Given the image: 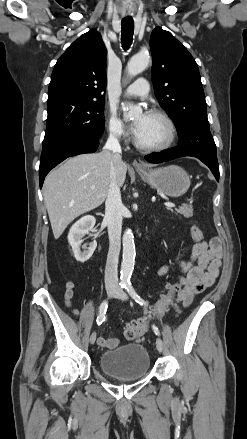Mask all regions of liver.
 Masks as SVG:
<instances>
[{"label": "liver", "instance_id": "obj_1", "mask_svg": "<svg viewBox=\"0 0 247 439\" xmlns=\"http://www.w3.org/2000/svg\"><path fill=\"white\" fill-rule=\"evenodd\" d=\"M113 155L108 150L77 155L48 174L43 195L55 239L62 235L75 218L105 201ZM115 170L120 187L125 182L126 163L121 160L115 165ZM92 186L95 188L92 189Z\"/></svg>", "mask_w": 247, "mask_h": 439}]
</instances>
